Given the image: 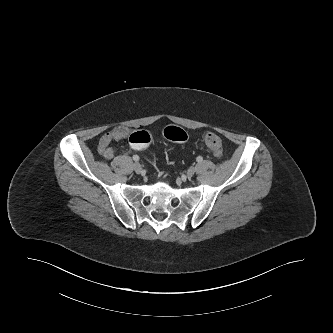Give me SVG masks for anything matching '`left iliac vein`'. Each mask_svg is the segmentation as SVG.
<instances>
[{"mask_svg": "<svg viewBox=\"0 0 333 333\" xmlns=\"http://www.w3.org/2000/svg\"><path fill=\"white\" fill-rule=\"evenodd\" d=\"M196 172V169L195 167H190L188 170H187V177H192Z\"/></svg>", "mask_w": 333, "mask_h": 333, "instance_id": "obj_1", "label": "left iliac vein"}]
</instances>
